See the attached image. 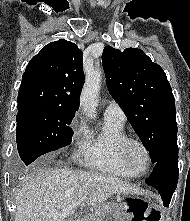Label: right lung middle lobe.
Masks as SVG:
<instances>
[{"mask_svg":"<svg viewBox=\"0 0 190 221\" xmlns=\"http://www.w3.org/2000/svg\"><path fill=\"white\" fill-rule=\"evenodd\" d=\"M75 111L32 108L16 116L17 149L22 161L29 165L39 156L71 143L73 130L69 126Z\"/></svg>","mask_w":190,"mask_h":221,"instance_id":"1","label":"right lung middle lobe"}]
</instances>
